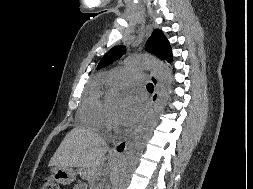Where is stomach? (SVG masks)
Wrapping results in <instances>:
<instances>
[{
  "label": "stomach",
  "instance_id": "stomach-1",
  "mask_svg": "<svg viewBox=\"0 0 253 189\" xmlns=\"http://www.w3.org/2000/svg\"><path fill=\"white\" fill-rule=\"evenodd\" d=\"M51 173L52 178L62 185L71 184L76 179V172L71 167L55 166Z\"/></svg>",
  "mask_w": 253,
  "mask_h": 189
}]
</instances>
